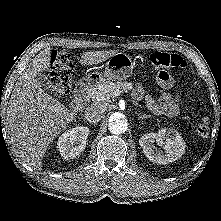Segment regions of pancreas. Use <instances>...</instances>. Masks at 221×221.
Listing matches in <instances>:
<instances>
[{"mask_svg": "<svg viewBox=\"0 0 221 221\" xmlns=\"http://www.w3.org/2000/svg\"><path fill=\"white\" fill-rule=\"evenodd\" d=\"M133 88L129 82H112L106 81L100 84L97 88L90 91L92 99L98 102L110 101L111 98L118 96L122 92H128Z\"/></svg>", "mask_w": 221, "mask_h": 221, "instance_id": "pancreas-1", "label": "pancreas"}]
</instances>
